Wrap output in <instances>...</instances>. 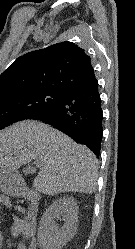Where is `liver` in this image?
<instances>
[{
    "instance_id": "6515ba94",
    "label": "liver",
    "mask_w": 135,
    "mask_h": 249,
    "mask_svg": "<svg viewBox=\"0 0 135 249\" xmlns=\"http://www.w3.org/2000/svg\"><path fill=\"white\" fill-rule=\"evenodd\" d=\"M36 160V191L91 194L96 190L98 160L84 145L42 122L24 120L0 131V168L16 172Z\"/></svg>"
}]
</instances>
